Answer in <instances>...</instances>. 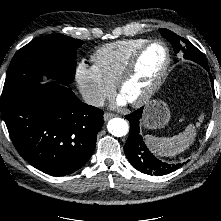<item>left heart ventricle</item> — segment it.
<instances>
[{"label": "left heart ventricle", "mask_w": 221, "mask_h": 221, "mask_svg": "<svg viewBox=\"0 0 221 221\" xmlns=\"http://www.w3.org/2000/svg\"><path fill=\"white\" fill-rule=\"evenodd\" d=\"M166 60L162 45L150 46L140 57L135 73L124 85L121 96L128 102L140 98L154 84Z\"/></svg>", "instance_id": "left-heart-ventricle-1"}]
</instances>
